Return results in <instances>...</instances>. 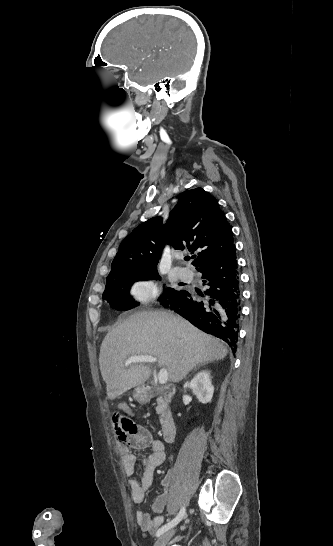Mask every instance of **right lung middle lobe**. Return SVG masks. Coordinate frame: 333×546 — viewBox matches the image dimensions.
<instances>
[{"label":"right lung middle lobe","mask_w":333,"mask_h":546,"mask_svg":"<svg viewBox=\"0 0 333 546\" xmlns=\"http://www.w3.org/2000/svg\"><path fill=\"white\" fill-rule=\"evenodd\" d=\"M160 278L157 270H111L107 277L103 299L107 300L116 310H129L139 305L129 295L131 285L136 281ZM175 291L165 288L159 300L169 298Z\"/></svg>","instance_id":"dd1d6c3e"}]
</instances>
